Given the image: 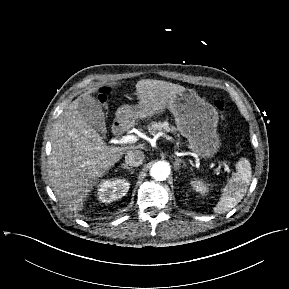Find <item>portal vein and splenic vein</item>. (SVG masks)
<instances>
[{"mask_svg":"<svg viewBox=\"0 0 289 289\" xmlns=\"http://www.w3.org/2000/svg\"><path fill=\"white\" fill-rule=\"evenodd\" d=\"M164 136H166V135H164ZM168 139H171V137H168ZM137 140H138L137 136H135V135H125L119 139V143L120 144L135 143ZM219 164L224 167V170L228 174L235 175L234 171L225 162L219 161Z\"/></svg>","mask_w":289,"mask_h":289,"instance_id":"18ae733b","label":"portal vein and splenic vein"}]
</instances>
